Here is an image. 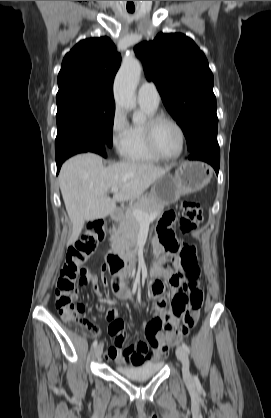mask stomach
Wrapping results in <instances>:
<instances>
[{"label":"stomach","instance_id":"0dacf381","mask_svg":"<svg viewBox=\"0 0 271 418\" xmlns=\"http://www.w3.org/2000/svg\"><path fill=\"white\" fill-rule=\"evenodd\" d=\"M212 175L211 167L203 162H183L174 175L166 173L157 179L149 194L161 204L170 205L182 195L200 191L210 182Z\"/></svg>","mask_w":271,"mask_h":418}]
</instances>
